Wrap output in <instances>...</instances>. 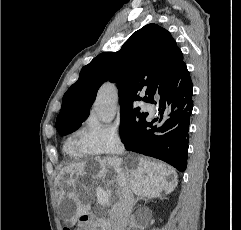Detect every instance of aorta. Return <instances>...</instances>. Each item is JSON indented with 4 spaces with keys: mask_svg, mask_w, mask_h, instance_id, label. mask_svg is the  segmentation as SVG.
<instances>
[{
    "mask_svg": "<svg viewBox=\"0 0 241 230\" xmlns=\"http://www.w3.org/2000/svg\"><path fill=\"white\" fill-rule=\"evenodd\" d=\"M117 93L110 83L103 84L98 90L94 112L97 119L103 123H110L116 114Z\"/></svg>",
    "mask_w": 241,
    "mask_h": 230,
    "instance_id": "762f6f07",
    "label": "aorta"
}]
</instances>
